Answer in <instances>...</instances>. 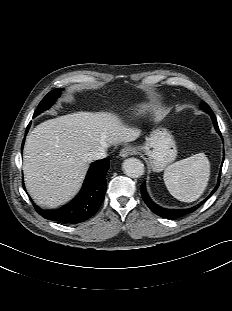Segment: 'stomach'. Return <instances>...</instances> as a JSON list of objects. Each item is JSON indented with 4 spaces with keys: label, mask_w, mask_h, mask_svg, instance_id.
Segmentation results:
<instances>
[{
    "label": "stomach",
    "mask_w": 232,
    "mask_h": 311,
    "mask_svg": "<svg viewBox=\"0 0 232 311\" xmlns=\"http://www.w3.org/2000/svg\"><path fill=\"white\" fill-rule=\"evenodd\" d=\"M141 149L148 156L149 164L155 172L164 170L177 157L174 137L166 128L154 130Z\"/></svg>",
    "instance_id": "stomach-1"
}]
</instances>
